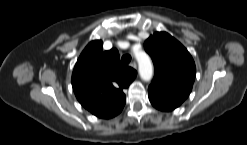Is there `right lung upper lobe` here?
<instances>
[{"label": "right lung upper lobe", "instance_id": "1", "mask_svg": "<svg viewBox=\"0 0 247 145\" xmlns=\"http://www.w3.org/2000/svg\"><path fill=\"white\" fill-rule=\"evenodd\" d=\"M103 42H90L81 53L72 74L74 93L83 107L99 118L119 114L126 102L123 89L135 79L137 72L121 65L119 52H103Z\"/></svg>", "mask_w": 247, "mask_h": 145}]
</instances>
